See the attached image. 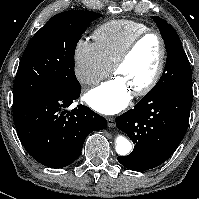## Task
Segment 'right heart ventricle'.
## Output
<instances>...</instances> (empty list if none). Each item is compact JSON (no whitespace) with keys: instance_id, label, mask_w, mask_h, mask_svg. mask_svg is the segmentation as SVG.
<instances>
[{"instance_id":"right-heart-ventricle-1","label":"right heart ventricle","mask_w":199,"mask_h":199,"mask_svg":"<svg viewBox=\"0 0 199 199\" xmlns=\"http://www.w3.org/2000/svg\"><path fill=\"white\" fill-rule=\"evenodd\" d=\"M147 30L149 27L138 21L112 20L96 28L93 38L104 59L112 66L126 45Z\"/></svg>"}]
</instances>
